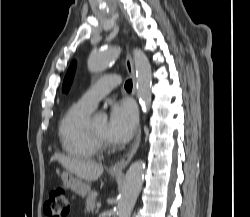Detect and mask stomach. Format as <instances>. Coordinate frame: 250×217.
Segmentation results:
<instances>
[{"label": "stomach", "instance_id": "1", "mask_svg": "<svg viewBox=\"0 0 250 217\" xmlns=\"http://www.w3.org/2000/svg\"><path fill=\"white\" fill-rule=\"evenodd\" d=\"M113 175L116 174L113 173ZM61 178L64 185L79 196L85 197L90 193V185L87 182L74 177L70 172L64 171L61 174Z\"/></svg>", "mask_w": 250, "mask_h": 217}]
</instances>
